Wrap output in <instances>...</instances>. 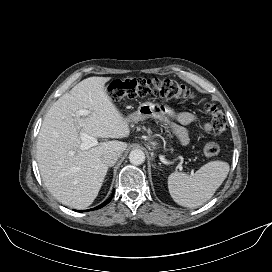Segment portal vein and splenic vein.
<instances>
[{
  "label": "portal vein and splenic vein",
  "mask_w": 272,
  "mask_h": 272,
  "mask_svg": "<svg viewBox=\"0 0 272 272\" xmlns=\"http://www.w3.org/2000/svg\"><path fill=\"white\" fill-rule=\"evenodd\" d=\"M89 113V111L87 110H78L76 112V116H83V115H87ZM81 140L82 143L80 145L81 150H87L93 146H96L98 144L97 139H95L94 137H91L87 134H81ZM70 155H73L74 152L70 151L69 152Z\"/></svg>",
  "instance_id": "1"
}]
</instances>
